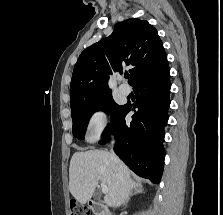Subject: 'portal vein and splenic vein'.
I'll list each match as a JSON object with an SVG mask.
<instances>
[{"instance_id":"portal-vein-and-splenic-vein-1","label":"portal vein and splenic vein","mask_w":223,"mask_h":215,"mask_svg":"<svg viewBox=\"0 0 223 215\" xmlns=\"http://www.w3.org/2000/svg\"><path fill=\"white\" fill-rule=\"evenodd\" d=\"M101 187H102L103 193H108V187H107L106 183H104V181H102Z\"/></svg>"}]
</instances>
